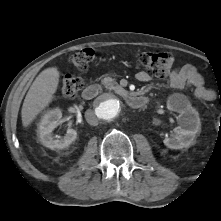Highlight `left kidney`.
Segmentation results:
<instances>
[{"mask_svg": "<svg viewBox=\"0 0 221 221\" xmlns=\"http://www.w3.org/2000/svg\"><path fill=\"white\" fill-rule=\"evenodd\" d=\"M167 108L179 113V126L174 129L173 138H165L163 143L170 149H182L192 145L196 134L201 131L198 112L183 94H173L167 100Z\"/></svg>", "mask_w": 221, "mask_h": 221, "instance_id": "left-kidney-1", "label": "left kidney"}]
</instances>
